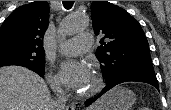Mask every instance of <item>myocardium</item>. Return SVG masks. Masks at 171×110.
<instances>
[{
  "mask_svg": "<svg viewBox=\"0 0 171 110\" xmlns=\"http://www.w3.org/2000/svg\"><path fill=\"white\" fill-rule=\"evenodd\" d=\"M93 76H94V85H93V87L87 92L79 93L77 95V98H79V99H88V98H91V97L95 96L96 94H98L102 90V88H103V78H102V76L97 72H94Z\"/></svg>",
  "mask_w": 171,
  "mask_h": 110,
  "instance_id": "f54148a6",
  "label": "myocardium"
}]
</instances>
